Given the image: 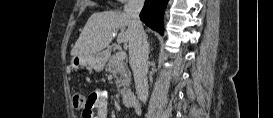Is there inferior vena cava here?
<instances>
[{"label": "inferior vena cava", "instance_id": "1", "mask_svg": "<svg viewBox=\"0 0 273 118\" xmlns=\"http://www.w3.org/2000/svg\"><path fill=\"white\" fill-rule=\"evenodd\" d=\"M143 4V0H128V3L124 6V11L130 18L128 26L130 33L129 63L133 71L138 99L145 103L148 98L147 62L149 46L139 18Z\"/></svg>", "mask_w": 273, "mask_h": 118}]
</instances>
